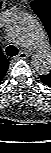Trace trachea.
Here are the masks:
<instances>
[{
	"instance_id": "1",
	"label": "trachea",
	"mask_w": 51,
	"mask_h": 153,
	"mask_svg": "<svg viewBox=\"0 0 51 153\" xmlns=\"http://www.w3.org/2000/svg\"><path fill=\"white\" fill-rule=\"evenodd\" d=\"M5 51L10 57L16 56L19 53V49L14 45L7 46Z\"/></svg>"
}]
</instances>
